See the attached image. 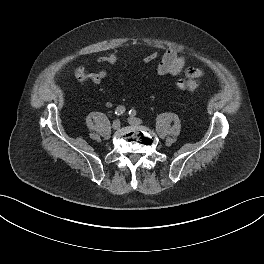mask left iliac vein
<instances>
[{
    "label": "left iliac vein",
    "mask_w": 264,
    "mask_h": 264,
    "mask_svg": "<svg viewBox=\"0 0 264 264\" xmlns=\"http://www.w3.org/2000/svg\"><path fill=\"white\" fill-rule=\"evenodd\" d=\"M128 122L131 125H140L142 121L139 118L130 117L128 118Z\"/></svg>",
    "instance_id": "obj_1"
}]
</instances>
